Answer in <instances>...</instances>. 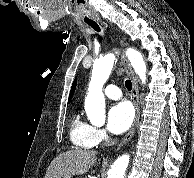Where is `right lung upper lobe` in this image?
<instances>
[{
    "label": "right lung upper lobe",
    "instance_id": "cb5924a9",
    "mask_svg": "<svg viewBox=\"0 0 194 178\" xmlns=\"http://www.w3.org/2000/svg\"><path fill=\"white\" fill-rule=\"evenodd\" d=\"M76 83H77V79H75L73 84H72L68 102H70V100H71V98H72V96L74 94V91H75V88H76Z\"/></svg>",
    "mask_w": 194,
    "mask_h": 178
}]
</instances>
